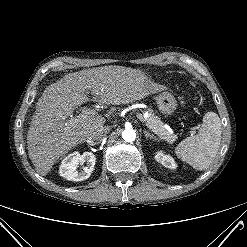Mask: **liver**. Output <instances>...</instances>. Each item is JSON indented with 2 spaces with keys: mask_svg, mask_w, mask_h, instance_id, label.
Instances as JSON below:
<instances>
[{
  "mask_svg": "<svg viewBox=\"0 0 247 247\" xmlns=\"http://www.w3.org/2000/svg\"><path fill=\"white\" fill-rule=\"evenodd\" d=\"M99 104L132 103L164 90L140 70L105 66L69 73L48 86L37 102L27 133L28 155L36 171L46 176L54 163L102 127L105 118L91 116L71 121L74 110L89 101L87 91Z\"/></svg>",
  "mask_w": 247,
  "mask_h": 247,
  "instance_id": "6515ba94",
  "label": "liver"
}]
</instances>
